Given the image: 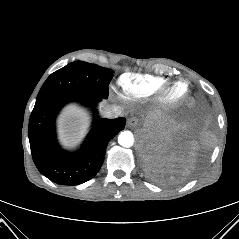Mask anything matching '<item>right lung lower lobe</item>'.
I'll return each mask as SVG.
<instances>
[{"label": "right lung lower lobe", "mask_w": 239, "mask_h": 239, "mask_svg": "<svg viewBox=\"0 0 239 239\" xmlns=\"http://www.w3.org/2000/svg\"><path fill=\"white\" fill-rule=\"evenodd\" d=\"M73 99L95 105L101 97L58 93L37 99L28 127L36 167L45 177L61 185H78L93 178L102 166L108 142L126 123L123 117L99 120L96 115L95 125L82 149L76 154H68L56 142L54 120L62 105Z\"/></svg>", "instance_id": "obj_1"}]
</instances>
